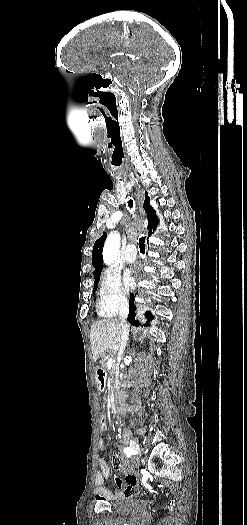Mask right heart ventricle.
Instances as JSON below:
<instances>
[{
    "label": "right heart ventricle",
    "mask_w": 247,
    "mask_h": 525,
    "mask_svg": "<svg viewBox=\"0 0 247 525\" xmlns=\"http://www.w3.org/2000/svg\"><path fill=\"white\" fill-rule=\"evenodd\" d=\"M98 314H99L100 316H103V315L100 313L99 309H98Z\"/></svg>",
    "instance_id": "e07e8e85"
}]
</instances>
